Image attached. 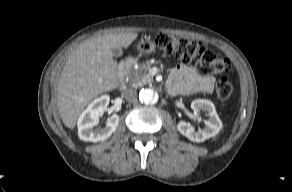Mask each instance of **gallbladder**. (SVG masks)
Instances as JSON below:
<instances>
[{
  "instance_id": "obj_1",
  "label": "gallbladder",
  "mask_w": 292,
  "mask_h": 192,
  "mask_svg": "<svg viewBox=\"0 0 292 192\" xmlns=\"http://www.w3.org/2000/svg\"><path fill=\"white\" fill-rule=\"evenodd\" d=\"M122 49L119 48V47H115L112 49V55L113 57L117 58V57H120L122 55Z\"/></svg>"
}]
</instances>
